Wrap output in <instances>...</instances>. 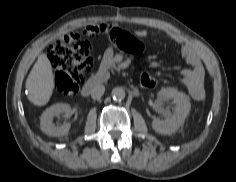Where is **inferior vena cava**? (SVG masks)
I'll return each instance as SVG.
<instances>
[{
	"label": "inferior vena cava",
	"mask_w": 236,
	"mask_h": 182,
	"mask_svg": "<svg viewBox=\"0 0 236 182\" xmlns=\"http://www.w3.org/2000/svg\"><path fill=\"white\" fill-rule=\"evenodd\" d=\"M105 92V87L102 84H96L91 90V97L93 99H99Z\"/></svg>",
	"instance_id": "602c4592"
}]
</instances>
